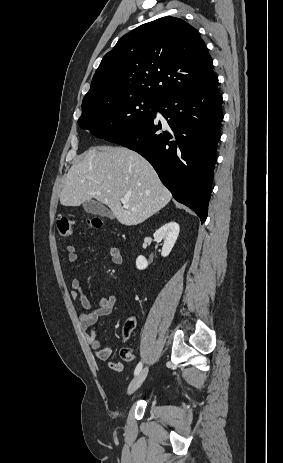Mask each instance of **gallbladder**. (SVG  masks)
<instances>
[{
    "mask_svg": "<svg viewBox=\"0 0 283 463\" xmlns=\"http://www.w3.org/2000/svg\"><path fill=\"white\" fill-rule=\"evenodd\" d=\"M85 212L95 215H104L113 218L114 215L102 203L94 200L86 201L83 204Z\"/></svg>",
    "mask_w": 283,
    "mask_h": 463,
    "instance_id": "1",
    "label": "gallbladder"
}]
</instances>
